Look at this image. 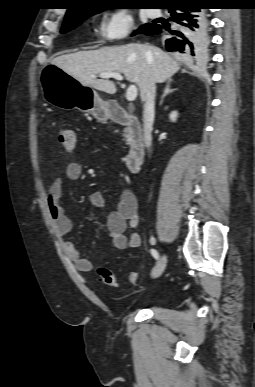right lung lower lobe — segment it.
<instances>
[{"instance_id":"obj_1","label":"right lung lower lobe","mask_w":255,"mask_h":387,"mask_svg":"<svg viewBox=\"0 0 255 387\" xmlns=\"http://www.w3.org/2000/svg\"><path fill=\"white\" fill-rule=\"evenodd\" d=\"M173 27L154 24L144 28L142 33L155 35L163 33L168 51H177L193 59H201L207 47V19L202 4L196 0H180L168 6Z\"/></svg>"}]
</instances>
